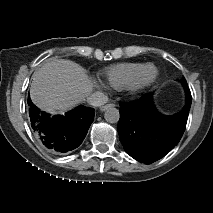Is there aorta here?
<instances>
[{"instance_id":"1","label":"aorta","mask_w":213,"mask_h":213,"mask_svg":"<svg viewBox=\"0 0 213 213\" xmlns=\"http://www.w3.org/2000/svg\"><path fill=\"white\" fill-rule=\"evenodd\" d=\"M104 119L106 120V122L111 124L118 123L120 119L119 110L113 106H108L104 113Z\"/></svg>"}]
</instances>
